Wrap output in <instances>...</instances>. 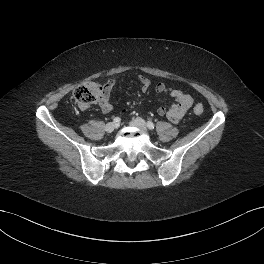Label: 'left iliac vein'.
I'll list each match as a JSON object with an SVG mask.
<instances>
[{
	"label": "left iliac vein",
	"mask_w": 264,
	"mask_h": 264,
	"mask_svg": "<svg viewBox=\"0 0 264 264\" xmlns=\"http://www.w3.org/2000/svg\"><path fill=\"white\" fill-rule=\"evenodd\" d=\"M130 125L134 126V127H138L140 129H142L144 132H147L146 122L142 118L138 117L136 119H133L130 122Z\"/></svg>",
	"instance_id": "1"
}]
</instances>
